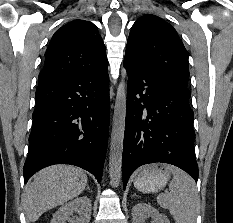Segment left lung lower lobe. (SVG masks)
I'll return each instance as SVG.
<instances>
[{"mask_svg": "<svg viewBox=\"0 0 233 223\" xmlns=\"http://www.w3.org/2000/svg\"><path fill=\"white\" fill-rule=\"evenodd\" d=\"M127 111L122 156L123 188L139 166L173 164L197 182L194 154V114L186 86L168 81L126 53Z\"/></svg>", "mask_w": 233, "mask_h": 223, "instance_id": "1", "label": "left lung lower lobe"}]
</instances>
